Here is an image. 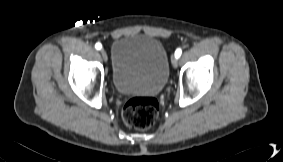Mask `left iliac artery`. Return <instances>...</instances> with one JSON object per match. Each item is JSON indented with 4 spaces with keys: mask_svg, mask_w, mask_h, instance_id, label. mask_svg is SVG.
Wrapping results in <instances>:
<instances>
[{
    "mask_svg": "<svg viewBox=\"0 0 283 162\" xmlns=\"http://www.w3.org/2000/svg\"><path fill=\"white\" fill-rule=\"evenodd\" d=\"M182 54V50L180 48H178L176 51H175V57L178 59Z\"/></svg>",
    "mask_w": 283,
    "mask_h": 162,
    "instance_id": "44dca946",
    "label": "left iliac artery"
}]
</instances>
